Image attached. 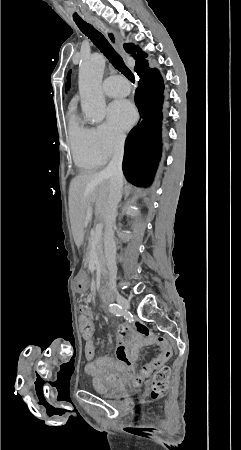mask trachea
Instances as JSON below:
<instances>
[{"mask_svg":"<svg viewBox=\"0 0 241 450\" xmlns=\"http://www.w3.org/2000/svg\"><path fill=\"white\" fill-rule=\"evenodd\" d=\"M78 28L81 30L86 37H88L91 42L108 58L109 62L119 70L125 77L128 78L131 82L134 83L135 78L131 70L125 65L122 57L117 53L112 45H110L109 41L106 40L104 35L101 32H98L93 25L86 22H75Z\"/></svg>","mask_w":241,"mask_h":450,"instance_id":"1","label":"trachea"}]
</instances>
